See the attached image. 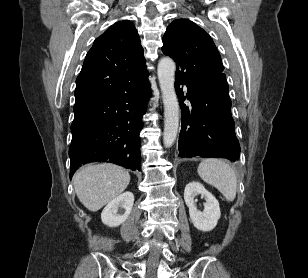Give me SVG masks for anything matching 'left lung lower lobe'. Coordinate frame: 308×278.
<instances>
[{"label": "left lung lower lobe", "mask_w": 308, "mask_h": 278, "mask_svg": "<svg viewBox=\"0 0 308 278\" xmlns=\"http://www.w3.org/2000/svg\"><path fill=\"white\" fill-rule=\"evenodd\" d=\"M180 84L188 88L184 96ZM175 89L182 104V124L179 135L180 157H222L235 161L240 146L231 116V100L225 74L195 83L175 79ZM189 99L191 107L183 101Z\"/></svg>", "instance_id": "1"}]
</instances>
